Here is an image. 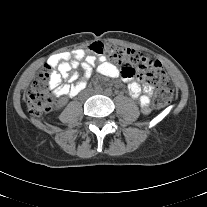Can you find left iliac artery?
Instances as JSON below:
<instances>
[{
    "mask_svg": "<svg viewBox=\"0 0 207 207\" xmlns=\"http://www.w3.org/2000/svg\"><path fill=\"white\" fill-rule=\"evenodd\" d=\"M106 93L110 95L111 94V90L107 89Z\"/></svg>",
    "mask_w": 207,
    "mask_h": 207,
    "instance_id": "1",
    "label": "left iliac artery"
}]
</instances>
